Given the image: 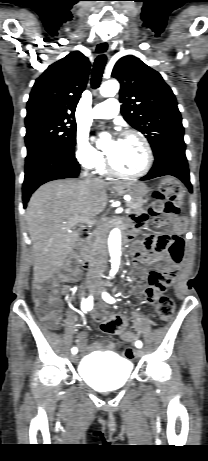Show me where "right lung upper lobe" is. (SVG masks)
Returning <instances> with one entry per match:
<instances>
[{"label":"right lung upper lobe","mask_w":208,"mask_h":461,"mask_svg":"<svg viewBox=\"0 0 208 461\" xmlns=\"http://www.w3.org/2000/svg\"><path fill=\"white\" fill-rule=\"evenodd\" d=\"M89 70V59L79 51L50 65L32 88L26 116L74 118Z\"/></svg>","instance_id":"cb5924a9"}]
</instances>
